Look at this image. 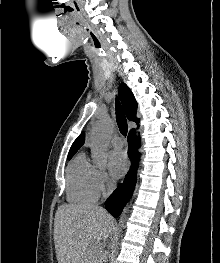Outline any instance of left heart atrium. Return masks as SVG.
Instances as JSON below:
<instances>
[{"label":"left heart atrium","instance_id":"left-heart-atrium-1","mask_svg":"<svg viewBox=\"0 0 220 263\" xmlns=\"http://www.w3.org/2000/svg\"><path fill=\"white\" fill-rule=\"evenodd\" d=\"M109 171L113 178L117 179L125 173L128 160L126 154L122 150H113L108 157Z\"/></svg>","mask_w":220,"mask_h":263}]
</instances>
